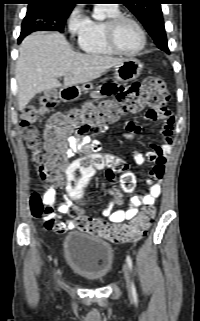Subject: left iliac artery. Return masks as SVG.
Instances as JSON below:
<instances>
[{
    "instance_id": "left-iliac-artery-1",
    "label": "left iliac artery",
    "mask_w": 200,
    "mask_h": 321,
    "mask_svg": "<svg viewBox=\"0 0 200 321\" xmlns=\"http://www.w3.org/2000/svg\"><path fill=\"white\" fill-rule=\"evenodd\" d=\"M126 261H127V264H128V266H129L130 270H132L133 264H132V259H131V257H130V256H127ZM132 293H133L134 297L137 296V294H136V288H135L134 283H132Z\"/></svg>"
}]
</instances>
